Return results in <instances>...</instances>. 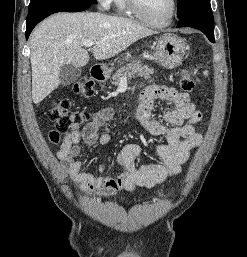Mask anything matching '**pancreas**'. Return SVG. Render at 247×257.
<instances>
[{
    "label": "pancreas",
    "mask_w": 247,
    "mask_h": 257,
    "mask_svg": "<svg viewBox=\"0 0 247 257\" xmlns=\"http://www.w3.org/2000/svg\"><path fill=\"white\" fill-rule=\"evenodd\" d=\"M154 74V70L147 65H142L140 61H132L126 66L121 67L112 76L110 82L112 85H118L122 78L141 77L149 79Z\"/></svg>",
    "instance_id": "1"
}]
</instances>
